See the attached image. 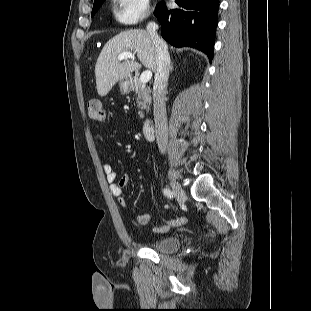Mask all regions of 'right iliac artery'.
<instances>
[{
	"instance_id": "right-iliac-artery-1",
	"label": "right iliac artery",
	"mask_w": 311,
	"mask_h": 311,
	"mask_svg": "<svg viewBox=\"0 0 311 311\" xmlns=\"http://www.w3.org/2000/svg\"><path fill=\"white\" fill-rule=\"evenodd\" d=\"M163 192L167 198H170V199L173 198V192L169 188L164 189Z\"/></svg>"
}]
</instances>
